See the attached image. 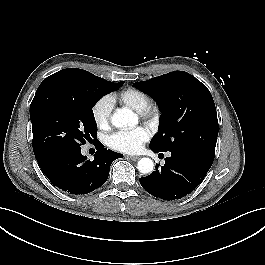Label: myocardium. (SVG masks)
<instances>
[{
  "label": "myocardium",
  "instance_id": "myocardium-1",
  "mask_svg": "<svg viewBox=\"0 0 265 265\" xmlns=\"http://www.w3.org/2000/svg\"><path fill=\"white\" fill-rule=\"evenodd\" d=\"M139 114L141 115V117L148 119L149 121L152 122L155 120V117L157 115V110L156 108H154L149 104L144 110L139 112Z\"/></svg>",
  "mask_w": 265,
  "mask_h": 265
}]
</instances>
